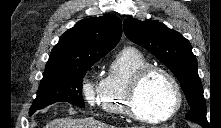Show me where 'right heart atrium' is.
Segmentation results:
<instances>
[{
  "mask_svg": "<svg viewBox=\"0 0 221 128\" xmlns=\"http://www.w3.org/2000/svg\"><path fill=\"white\" fill-rule=\"evenodd\" d=\"M101 81L90 75L83 83V95L88 103L94 104L101 88Z\"/></svg>",
  "mask_w": 221,
  "mask_h": 128,
  "instance_id": "obj_1",
  "label": "right heart atrium"
}]
</instances>
